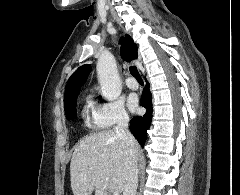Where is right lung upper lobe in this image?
<instances>
[{
    "instance_id": "obj_1",
    "label": "right lung upper lobe",
    "mask_w": 240,
    "mask_h": 195,
    "mask_svg": "<svg viewBox=\"0 0 240 195\" xmlns=\"http://www.w3.org/2000/svg\"><path fill=\"white\" fill-rule=\"evenodd\" d=\"M121 55L126 61L137 59V46L129 35L122 40ZM91 71V65L79 67L69 78L65 89V107L75 101Z\"/></svg>"
}]
</instances>
